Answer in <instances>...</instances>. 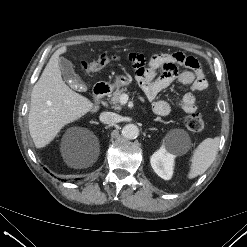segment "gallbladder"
<instances>
[{"label":"gallbladder","mask_w":247,"mask_h":247,"mask_svg":"<svg viewBox=\"0 0 247 247\" xmlns=\"http://www.w3.org/2000/svg\"><path fill=\"white\" fill-rule=\"evenodd\" d=\"M59 67L64 80L68 82L72 88L79 90L80 86L82 85V82L80 77L75 73L73 64L66 58L60 57Z\"/></svg>","instance_id":"gallbladder-1"}]
</instances>
